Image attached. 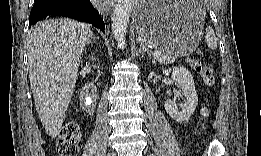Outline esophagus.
<instances>
[{
    "label": "esophagus",
    "mask_w": 261,
    "mask_h": 156,
    "mask_svg": "<svg viewBox=\"0 0 261 156\" xmlns=\"http://www.w3.org/2000/svg\"><path fill=\"white\" fill-rule=\"evenodd\" d=\"M113 5V2L112 1H108V2H104L102 4V7H103V10L104 11H109L110 10V7Z\"/></svg>",
    "instance_id": "obj_1"
}]
</instances>
